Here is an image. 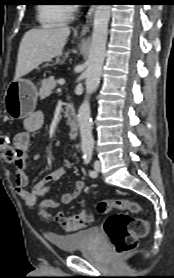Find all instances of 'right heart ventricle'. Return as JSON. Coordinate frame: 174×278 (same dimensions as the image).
I'll return each instance as SVG.
<instances>
[{"mask_svg": "<svg viewBox=\"0 0 174 278\" xmlns=\"http://www.w3.org/2000/svg\"><path fill=\"white\" fill-rule=\"evenodd\" d=\"M72 13L67 4L46 3L38 7V20L43 27H54L69 22Z\"/></svg>", "mask_w": 174, "mask_h": 278, "instance_id": "obj_1", "label": "right heart ventricle"}]
</instances>
